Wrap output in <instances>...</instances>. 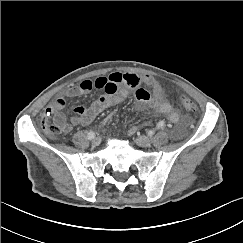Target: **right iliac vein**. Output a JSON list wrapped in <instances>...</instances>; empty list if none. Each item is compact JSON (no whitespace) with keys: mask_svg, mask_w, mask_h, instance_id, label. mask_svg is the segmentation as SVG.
Listing matches in <instances>:
<instances>
[{"mask_svg":"<svg viewBox=\"0 0 243 243\" xmlns=\"http://www.w3.org/2000/svg\"><path fill=\"white\" fill-rule=\"evenodd\" d=\"M100 143H101V139L99 137H95L92 139V144L94 146H98V145H100Z\"/></svg>","mask_w":243,"mask_h":243,"instance_id":"right-iliac-vein-1","label":"right iliac vein"}]
</instances>
